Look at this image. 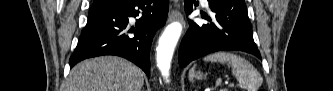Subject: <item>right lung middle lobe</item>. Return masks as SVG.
Listing matches in <instances>:
<instances>
[{"label": "right lung middle lobe", "mask_w": 333, "mask_h": 91, "mask_svg": "<svg viewBox=\"0 0 333 91\" xmlns=\"http://www.w3.org/2000/svg\"><path fill=\"white\" fill-rule=\"evenodd\" d=\"M127 1L124 0H94L92 9H103V8H111L122 5Z\"/></svg>", "instance_id": "right-lung-middle-lobe-1"}]
</instances>
